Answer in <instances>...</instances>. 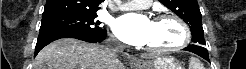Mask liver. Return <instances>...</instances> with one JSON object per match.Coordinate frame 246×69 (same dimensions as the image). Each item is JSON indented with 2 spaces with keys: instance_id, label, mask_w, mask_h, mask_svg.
Here are the masks:
<instances>
[{
  "instance_id": "liver-1",
  "label": "liver",
  "mask_w": 246,
  "mask_h": 69,
  "mask_svg": "<svg viewBox=\"0 0 246 69\" xmlns=\"http://www.w3.org/2000/svg\"><path fill=\"white\" fill-rule=\"evenodd\" d=\"M119 52L112 51L107 46L65 38L44 47L36 56L33 67L34 69H125L118 59ZM141 57L151 56L143 54Z\"/></svg>"
}]
</instances>
